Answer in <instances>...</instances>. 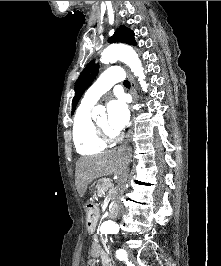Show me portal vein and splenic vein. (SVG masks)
<instances>
[{
    "label": "portal vein and splenic vein",
    "mask_w": 221,
    "mask_h": 266,
    "mask_svg": "<svg viewBox=\"0 0 221 266\" xmlns=\"http://www.w3.org/2000/svg\"><path fill=\"white\" fill-rule=\"evenodd\" d=\"M112 189H113V188H110V192H112Z\"/></svg>",
    "instance_id": "portal-vein-and-splenic-vein-1"
}]
</instances>
